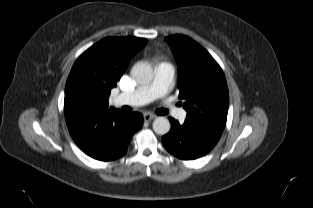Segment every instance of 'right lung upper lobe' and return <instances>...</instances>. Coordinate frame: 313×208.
<instances>
[{"label": "right lung upper lobe", "mask_w": 313, "mask_h": 208, "mask_svg": "<svg viewBox=\"0 0 313 208\" xmlns=\"http://www.w3.org/2000/svg\"><path fill=\"white\" fill-rule=\"evenodd\" d=\"M146 43L144 38L106 37L81 54L66 82L64 111L108 109L111 89Z\"/></svg>", "instance_id": "right-lung-upper-lobe-1"}]
</instances>
